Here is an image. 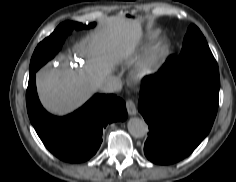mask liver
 <instances>
[{"label":"liver","mask_w":236,"mask_h":182,"mask_svg":"<svg viewBox=\"0 0 236 182\" xmlns=\"http://www.w3.org/2000/svg\"><path fill=\"white\" fill-rule=\"evenodd\" d=\"M141 35L140 22L109 18L101 29L75 45V52L85 59L83 67L72 68L62 62L37 73V89L44 107L63 115L81 106L115 66L134 53Z\"/></svg>","instance_id":"6515ba94"}]
</instances>
